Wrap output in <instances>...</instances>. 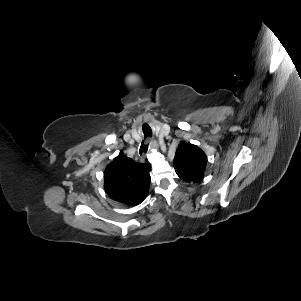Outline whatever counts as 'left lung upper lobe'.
<instances>
[{"label":"left lung upper lobe","mask_w":301,"mask_h":301,"mask_svg":"<svg viewBox=\"0 0 301 301\" xmlns=\"http://www.w3.org/2000/svg\"><path fill=\"white\" fill-rule=\"evenodd\" d=\"M174 168L177 175L186 182H200L207 164L205 153L193 144L181 143L176 150Z\"/></svg>","instance_id":"left-lung-upper-lobe-1"}]
</instances>
